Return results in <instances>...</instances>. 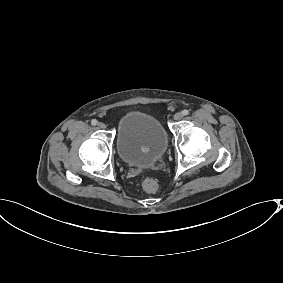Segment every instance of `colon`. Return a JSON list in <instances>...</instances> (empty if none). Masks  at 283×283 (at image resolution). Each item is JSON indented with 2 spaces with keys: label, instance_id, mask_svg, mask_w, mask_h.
<instances>
[{
  "label": "colon",
  "instance_id": "obj_1",
  "mask_svg": "<svg viewBox=\"0 0 283 283\" xmlns=\"http://www.w3.org/2000/svg\"><path fill=\"white\" fill-rule=\"evenodd\" d=\"M142 188L148 193H155L158 190V183L150 177H146L142 181Z\"/></svg>",
  "mask_w": 283,
  "mask_h": 283
}]
</instances>
